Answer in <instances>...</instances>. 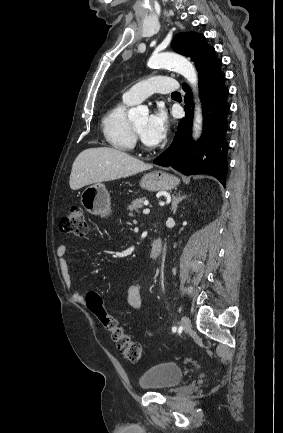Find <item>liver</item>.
<instances>
[{
  "label": "liver",
  "mask_w": 283,
  "mask_h": 433,
  "mask_svg": "<svg viewBox=\"0 0 283 433\" xmlns=\"http://www.w3.org/2000/svg\"><path fill=\"white\" fill-rule=\"evenodd\" d=\"M148 168H152V164H145L143 160L134 158L117 148H109V146L86 148L76 156L72 164L69 184L70 188L77 190L92 182L116 180Z\"/></svg>",
  "instance_id": "liver-1"
}]
</instances>
